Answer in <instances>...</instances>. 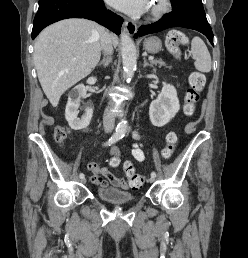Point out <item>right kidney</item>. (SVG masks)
<instances>
[{
  "label": "right kidney",
  "mask_w": 248,
  "mask_h": 258,
  "mask_svg": "<svg viewBox=\"0 0 248 258\" xmlns=\"http://www.w3.org/2000/svg\"><path fill=\"white\" fill-rule=\"evenodd\" d=\"M97 79L95 77H90L87 83L90 85L95 84ZM86 94V88L84 84L77 85L73 91L69 94L66 109L65 118L69 123V126L73 130H82L86 128L92 119L93 109L88 108L85 110L84 114L79 118L78 109L80 105V98Z\"/></svg>",
  "instance_id": "right-kidney-1"
}]
</instances>
